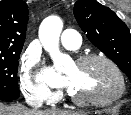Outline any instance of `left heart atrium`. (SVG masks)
<instances>
[{
	"label": "left heart atrium",
	"mask_w": 131,
	"mask_h": 115,
	"mask_svg": "<svg viewBox=\"0 0 131 115\" xmlns=\"http://www.w3.org/2000/svg\"><path fill=\"white\" fill-rule=\"evenodd\" d=\"M50 81L54 85H57L60 87H69L70 86V82H69L68 78H60V77H56V76H51Z\"/></svg>",
	"instance_id": "1"
}]
</instances>
